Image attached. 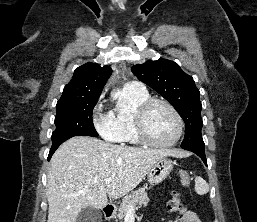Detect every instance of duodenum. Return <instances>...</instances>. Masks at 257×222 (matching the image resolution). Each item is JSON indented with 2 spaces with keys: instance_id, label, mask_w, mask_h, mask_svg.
I'll return each instance as SVG.
<instances>
[{
  "instance_id": "duodenum-1",
  "label": "duodenum",
  "mask_w": 257,
  "mask_h": 222,
  "mask_svg": "<svg viewBox=\"0 0 257 222\" xmlns=\"http://www.w3.org/2000/svg\"><path fill=\"white\" fill-rule=\"evenodd\" d=\"M114 206L111 204H107L103 207V214L107 219H110L114 215Z\"/></svg>"
}]
</instances>
